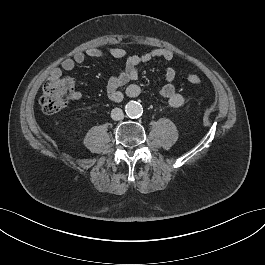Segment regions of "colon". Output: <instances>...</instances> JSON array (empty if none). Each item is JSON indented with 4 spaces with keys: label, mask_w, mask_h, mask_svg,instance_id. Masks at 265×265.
I'll return each instance as SVG.
<instances>
[{
    "label": "colon",
    "mask_w": 265,
    "mask_h": 265,
    "mask_svg": "<svg viewBox=\"0 0 265 265\" xmlns=\"http://www.w3.org/2000/svg\"><path fill=\"white\" fill-rule=\"evenodd\" d=\"M187 81L193 85H201L202 78L196 74H188ZM75 81L68 76H50L44 83L39 98L42 110L47 114L61 112L74 97Z\"/></svg>",
    "instance_id": "1"
}]
</instances>
